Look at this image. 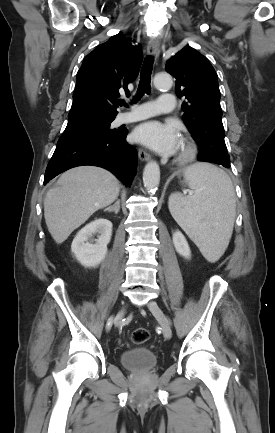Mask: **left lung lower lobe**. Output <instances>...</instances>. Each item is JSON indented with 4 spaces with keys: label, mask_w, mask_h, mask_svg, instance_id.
Segmentation results:
<instances>
[{
    "label": "left lung lower lobe",
    "mask_w": 275,
    "mask_h": 433,
    "mask_svg": "<svg viewBox=\"0 0 275 433\" xmlns=\"http://www.w3.org/2000/svg\"><path fill=\"white\" fill-rule=\"evenodd\" d=\"M222 166H224V167H226V168H229L230 167V163L229 164H224V165H222Z\"/></svg>",
    "instance_id": "left-lung-lower-lobe-1"
}]
</instances>
